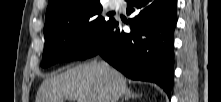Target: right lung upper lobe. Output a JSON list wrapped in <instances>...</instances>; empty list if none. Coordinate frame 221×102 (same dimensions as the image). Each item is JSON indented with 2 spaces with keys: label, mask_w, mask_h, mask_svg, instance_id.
<instances>
[{
  "label": "right lung upper lobe",
  "mask_w": 221,
  "mask_h": 102,
  "mask_svg": "<svg viewBox=\"0 0 221 102\" xmlns=\"http://www.w3.org/2000/svg\"><path fill=\"white\" fill-rule=\"evenodd\" d=\"M95 1L98 0H49L45 21L65 8L73 7L76 5H84Z\"/></svg>",
  "instance_id": "obj_1"
}]
</instances>
